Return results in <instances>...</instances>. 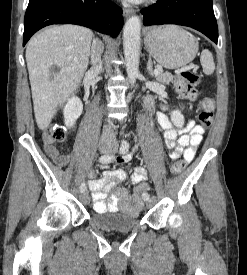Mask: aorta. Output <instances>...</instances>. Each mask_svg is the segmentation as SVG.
I'll list each match as a JSON object with an SVG mask.
<instances>
[{"label":"aorta","mask_w":247,"mask_h":275,"mask_svg":"<svg viewBox=\"0 0 247 275\" xmlns=\"http://www.w3.org/2000/svg\"><path fill=\"white\" fill-rule=\"evenodd\" d=\"M140 32L139 17H130L123 29V49L126 71L131 85H134L139 74Z\"/></svg>","instance_id":"obj_1"}]
</instances>
